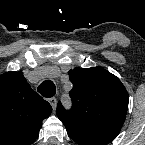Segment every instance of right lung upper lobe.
Returning a JSON list of instances; mask_svg holds the SVG:
<instances>
[{
  "label": "right lung upper lobe",
  "instance_id": "cb5924a9",
  "mask_svg": "<svg viewBox=\"0 0 145 145\" xmlns=\"http://www.w3.org/2000/svg\"><path fill=\"white\" fill-rule=\"evenodd\" d=\"M52 107L33 91L23 73L0 76V145H30Z\"/></svg>",
  "mask_w": 145,
  "mask_h": 145
}]
</instances>
